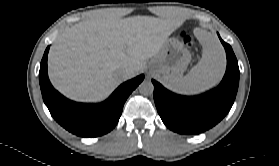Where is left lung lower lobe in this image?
Masks as SVG:
<instances>
[{
	"instance_id": "left-lung-lower-lobe-1",
	"label": "left lung lower lobe",
	"mask_w": 279,
	"mask_h": 166,
	"mask_svg": "<svg viewBox=\"0 0 279 166\" xmlns=\"http://www.w3.org/2000/svg\"><path fill=\"white\" fill-rule=\"evenodd\" d=\"M220 41L226 51L227 68L223 80L212 91L195 97L181 96L152 80L157 111L164 124L174 132L202 133L220 122L231 109L238 90L239 67L231 46L221 38Z\"/></svg>"
}]
</instances>
